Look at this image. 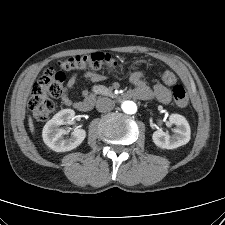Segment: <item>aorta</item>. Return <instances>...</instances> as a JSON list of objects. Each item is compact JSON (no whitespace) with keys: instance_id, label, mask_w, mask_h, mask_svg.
<instances>
[{"instance_id":"obj_1","label":"aorta","mask_w":225,"mask_h":225,"mask_svg":"<svg viewBox=\"0 0 225 225\" xmlns=\"http://www.w3.org/2000/svg\"><path fill=\"white\" fill-rule=\"evenodd\" d=\"M121 108L127 114H135L137 112V105L133 101H124Z\"/></svg>"}]
</instances>
